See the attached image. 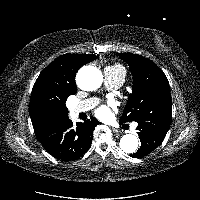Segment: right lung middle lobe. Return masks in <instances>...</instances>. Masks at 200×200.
Masks as SVG:
<instances>
[{
    "instance_id": "dd1d6c3e",
    "label": "right lung middle lobe",
    "mask_w": 200,
    "mask_h": 200,
    "mask_svg": "<svg viewBox=\"0 0 200 200\" xmlns=\"http://www.w3.org/2000/svg\"><path fill=\"white\" fill-rule=\"evenodd\" d=\"M75 93H73L74 95ZM67 99H65L62 103H58V104H51L49 107H48V112L55 116V117H58V116H66L68 115V109L65 105V102H66Z\"/></svg>"
}]
</instances>
